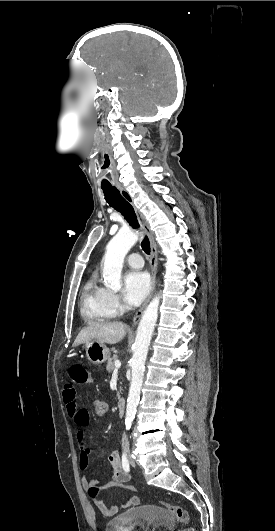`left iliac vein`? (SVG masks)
I'll return each mask as SVG.
<instances>
[{
  "mask_svg": "<svg viewBox=\"0 0 275 531\" xmlns=\"http://www.w3.org/2000/svg\"><path fill=\"white\" fill-rule=\"evenodd\" d=\"M130 463H131L132 466L136 465V463H135V461L133 459H130Z\"/></svg>",
  "mask_w": 275,
  "mask_h": 531,
  "instance_id": "obj_1",
  "label": "left iliac vein"
}]
</instances>
